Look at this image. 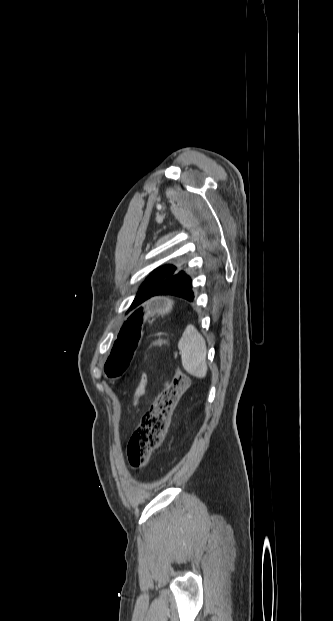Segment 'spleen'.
<instances>
[{
  "label": "spleen",
  "mask_w": 333,
  "mask_h": 621,
  "mask_svg": "<svg viewBox=\"0 0 333 621\" xmlns=\"http://www.w3.org/2000/svg\"><path fill=\"white\" fill-rule=\"evenodd\" d=\"M183 368L190 375L204 378L207 374V348L204 338L194 326H188L178 343Z\"/></svg>",
  "instance_id": "3e777b00"
}]
</instances>
